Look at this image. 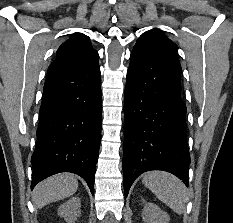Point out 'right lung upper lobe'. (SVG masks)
<instances>
[{
  "mask_svg": "<svg viewBox=\"0 0 233 223\" xmlns=\"http://www.w3.org/2000/svg\"><path fill=\"white\" fill-rule=\"evenodd\" d=\"M56 59L48 68L47 77L82 70L98 63L99 55L89 38L75 33L64 42L56 53Z\"/></svg>",
  "mask_w": 233,
  "mask_h": 223,
  "instance_id": "1",
  "label": "right lung upper lobe"
}]
</instances>
